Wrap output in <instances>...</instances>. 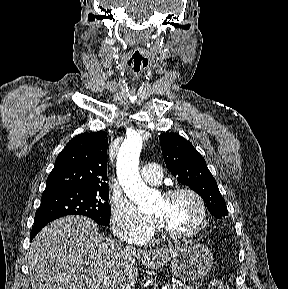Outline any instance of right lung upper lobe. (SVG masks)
I'll return each instance as SVG.
<instances>
[{"instance_id": "obj_1", "label": "right lung upper lobe", "mask_w": 288, "mask_h": 289, "mask_svg": "<svg viewBox=\"0 0 288 289\" xmlns=\"http://www.w3.org/2000/svg\"><path fill=\"white\" fill-rule=\"evenodd\" d=\"M107 148L105 132L77 135L58 155L45 189L108 187Z\"/></svg>"}]
</instances>
